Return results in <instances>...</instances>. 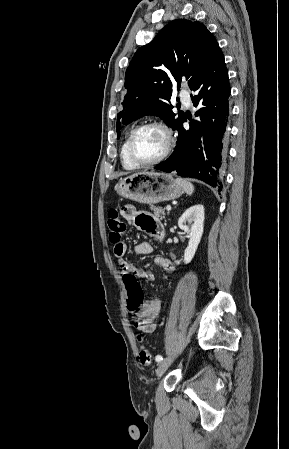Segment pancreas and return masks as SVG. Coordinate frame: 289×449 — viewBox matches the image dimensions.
Masks as SVG:
<instances>
[{"mask_svg":"<svg viewBox=\"0 0 289 449\" xmlns=\"http://www.w3.org/2000/svg\"><path fill=\"white\" fill-rule=\"evenodd\" d=\"M150 209L154 212V214L161 219L165 218V212L161 207L151 206Z\"/></svg>","mask_w":289,"mask_h":449,"instance_id":"cf45deb5","label":"pancreas"}]
</instances>
